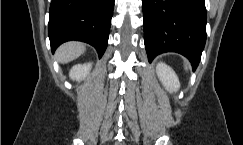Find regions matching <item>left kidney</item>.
<instances>
[{
    "mask_svg": "<svg viewBox=\"0 0 243 145\" xmlns=\"http://www.w3.org/2000/svg\"><path fill=\"white\" fill-rule=\"evenodd\" d=\"M156 73L165 89L172 93L180 88V82L173 69L165 63H158Z\"/></svg>",
    "mask_w": 243,
    "mask_h": 145,
    "instance_id": "1",
    "label": "left kidney"
}]
</instances>
